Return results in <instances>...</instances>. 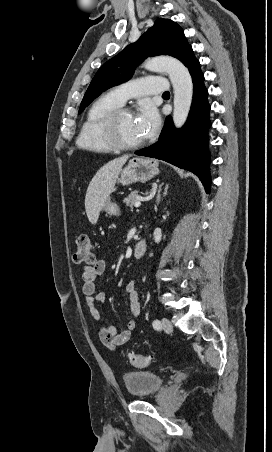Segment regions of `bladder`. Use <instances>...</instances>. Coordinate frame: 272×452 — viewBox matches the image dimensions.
<instances>
[{"mask_svg":"<svg viewBox=\"0 0 272 452\" xmlns=\"http://www.w3.org/2000/svg\"><path fill=\"white\" fill-rule=\"evenodd\" d=\"M127 393L132 397L145 398L159 392L163 378L149 370L128 371L122 374Z\"/></svg>","mask_w":272,"mask_h":452,"instance_id":"bladder-1","label":"bladder"}]
</instances>
